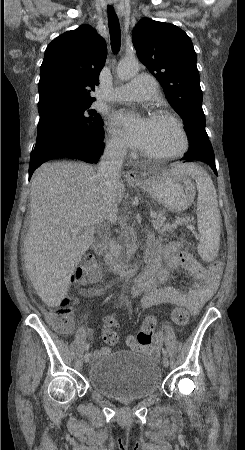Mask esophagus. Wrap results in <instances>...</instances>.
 Wrapping results in <instances>:
<instances>
[{"mask_svg":"<svg viewBox=\"0 0 245 450\" xmlns=\"http://www.w3.org/2000/svg\"><path fill=\"white\" fill-rule=\"evenodd\" d=\"M127 177L131 180H139L140 176L135 170H130L127 173Z\"/></svg>","mask_w":245,"mask_h":450,"instance_id":"34e87169","label":"esophagus"}]
</instances>
